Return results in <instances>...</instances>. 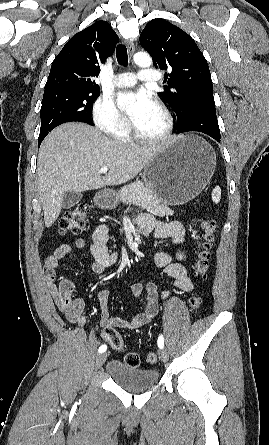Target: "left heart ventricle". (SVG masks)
<instances>
[{
	"instance_id": "obj_1",
	"label": "left heart ventricle",
	"mask_w": 269,
	"mask_h": 445,
	"mask_svg": "<svg viewBox=\"0 0 269 445\" xmlns=\"http://www.w3.org/2000/svg\"><path fill=\"white\" fill-rule=\"evenodd\" d=\"M133 108L131 109V113ZM136 128L146 136H157L165 129V118L161 111L154 105L137 120H134Z\"/></svg>"
}]
</instances>
